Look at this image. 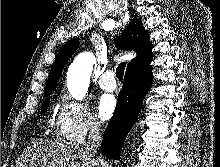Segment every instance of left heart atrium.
I'll list each match as a JSON object with an SVG mask.
<instances>
[{
	"instance_id": "obj_1",
	"label": "left heart atrium",
	"mask_w": 220,
	"mask_h": 167,
	"mask_svg": "<svg viewBox=\"0 0 220 167\" xmlns=\"http://www.w3.org/2000/svg\"><path fill=\"white\" fill-rule=\"evenodd\" d=\"M116 99L111 94H104L99 98L98 101V115L101 120L109 119L116 110Z\"/></svg>"
}]
</instances>
